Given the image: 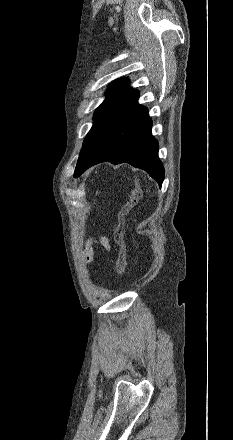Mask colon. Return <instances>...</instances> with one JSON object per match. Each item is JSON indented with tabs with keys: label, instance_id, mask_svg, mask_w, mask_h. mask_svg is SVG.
<instances>
[{
	"label": "colon",
	"instance_id": "obj_1",
	"mask_svg": "<svg viewBox=\"0 0 233 440\" xmlns=\"http://www.w3.org/2000/svg\"><path fill=\"white\" fill-rule=\"evenodd\" d=\"M141 198V191L138 187H134L128 201L121 207L117 215V225L113 233V241L118 250V258L116 263V271L118 277H122L126 272L127 254L124 244L125 234V218L127 214L138 204Z\"/></svg>",
	"mask_w": 233,
	"mask_h": 440
}]
</instances>
